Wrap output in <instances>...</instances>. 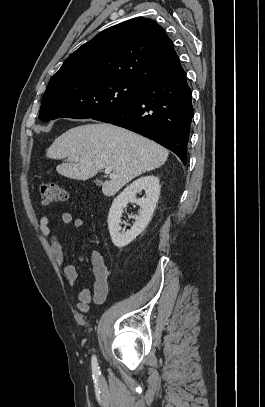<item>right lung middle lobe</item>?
Here are the masks:
<instances>
[{
	"label": "right lung middle lobe",
	"instance_id": "dd1d6c3e",
	"mask_svg": "<svg viewBox=\"0 0 265 407\" xmlns=\"http://www.w3.org/2000/svg\"><path fill=\"white\" fill-rule=\"evenodd\" d=\"M145 86L133 81L88 77L77 81H54L43 95L39 118H94L132 104Z\"/></svg>",
	"mask_w": 265,
	"mask_h": 407
}]
</instances>
